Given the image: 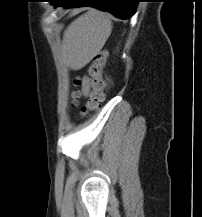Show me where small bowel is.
<instances>
[{
	"label": "small bowel",
	"instance_id": "obj_1",
	"mask_svg": "<svg viewBox=\"0 0 202 217\" xmlns=\"http://www.w3.org/2000/svg\"><path fill=\"white\" fill-rule=\"evenodd\" d=\"M82 94L88 96L90 92V82L88 78H84L82 81Z\"/></svg>",
	"mask_w": 202,
	"mask_h": 217
}]
</instances>
